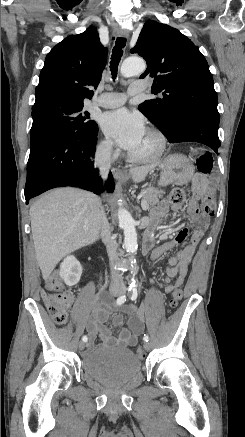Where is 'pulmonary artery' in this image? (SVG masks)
<instances>
[{"label":"pulmonary artery","mask_w":245,"mask_h":437,"mask_svg":"<svg viewBox=\"0 0 245 437\" xmlns=\"http://www.w3.org/2000/svg\"><path fill=\"white\" fill-rule=\"evenodd\" d=\"M147 90V84L144 81L133 82L129 89L128 95H135ZM126 101V94L119 92L103 93L95 101L94 104L103 108H116L121 106Z\"/></svg>","instance_id":"1"}]
</instances>
